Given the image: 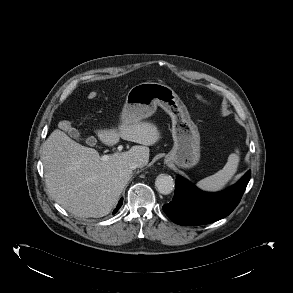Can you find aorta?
I'll return each mask as SVG.
<instances>
[{"label":"aorta","instance_id":"762f6f07","mask_svg":"<svg viewBox=\"0 0 293 293\" xmlns=\"http://www.w3.org/2000/svg\"><path fill=\"white\" fill-rule=\"evenodd\" d=\"M157 191L163 195L170 194L174 189V181L170 175L161 174L155 180Z\"/></svg>","mask_w":293,"mask_h":293}]
</instances>
